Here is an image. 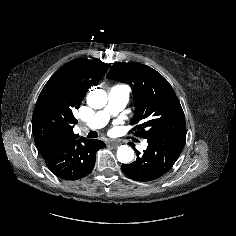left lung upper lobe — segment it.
I'll list each match as a JSON object with an SVG mask.
<instances>
[{
  "mask_svg": "<svg viewBox=\"0 0 236 236\" xmlns=\"http://www.w3.org/2000/svg\"><path fill=\"white\" fill-rule=\"evenodd\" d=\"M107 78L128 83L133 92L136 135L145 139L185 130L181 104L169 82L153 68L140 63H114Z\"/></svg>",
  "mask_w": 236,
  "mask_h": 236,
  "instance_id": "1",
  "label": "left lung upper lobe"
}]
</instances>
